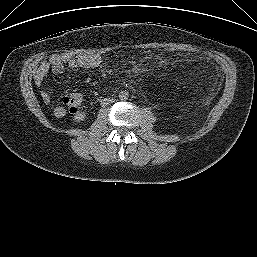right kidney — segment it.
<instances>
[{
	"label": "right kidney",
	"mask_w": 257,
	"mask_h": 257,
	"mask_svg": "<svg viewBox=\"0 0 257 257\" xmlns=\"http://www.w3.org/2000/svg\"><path fill=\"white\" fill-rule=\"evenodd\" d=\"M84 118H85V114L80 113V114L75 115L74 120L79 122V121H83Z\"/></svg>",
	"instance_id": "right-kidney-1"
}]
</instances>
